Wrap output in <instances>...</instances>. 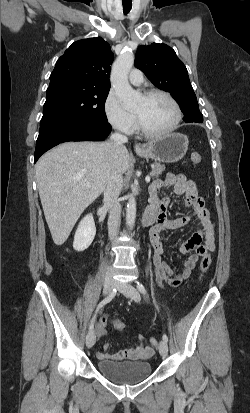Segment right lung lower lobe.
<instances>
[{
	"label": "right lung lower lobe",
	"mask_w": 250,
	"mask_h": 413,
	"mask_svg": "<svg viewBox=\"0 0 250 413\" xmlns=\"http://www.w3.org/2000/svg\"><path fill=\"white\" fill-rule=\"evenodd\" d=\"M108 122L65 121L39 132L34 163L50 148L67 141H102L111 132Z\"/></svg>",
	"instance_id": "obj_1"
}]
</instances>
